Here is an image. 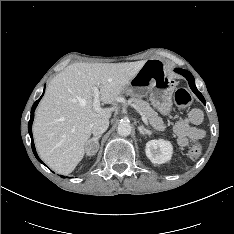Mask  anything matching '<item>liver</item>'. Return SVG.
Returning <instances> with one entry per match:
<instances>
[{"label":"liver","mask_w":234,"mask_h":234,"mask_svg":"<svg viewBox=\"0 0 234 234\" xmlns=\"http://www.w3.org/2000/svg\"><path fill=\"white\" fill-rule=\"evenodd\" d=\"M145 62L74 63L50 81L36 110L33 136L39 156L53 171L70 174L85 155L92 124L111 117V108L94 109L93 88L110 104Z\"/></svg>","instance_id":"6515ba94"}]
</instances>
